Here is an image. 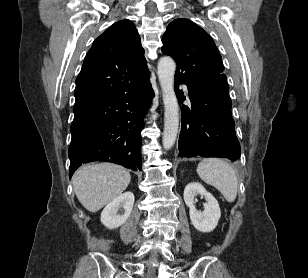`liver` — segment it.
<instances>
[{
    "label": "liver",
    "mask_w": 308,
    "mask_h": 278,
    "mask_svg": "<svg viewBox=\"0 0 308 278\" xmlns=\"http://www.w3.org/2000/svg\"><path fill=\"white\" fill-rule=\"evenodd\" d=\"M131 176L125 168L112 163L81 166L72 183L80 203L90 212H97L119 197L128 187Z\"/></svg>",
    "instance_id": "obj_1"
}]
</instances>
